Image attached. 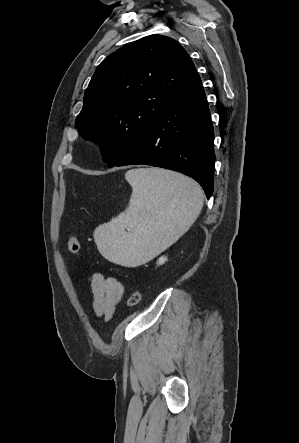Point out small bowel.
I'll list each match as a JSON object with an SVG mask.
<instances>
[{
	"instance_id": "c3829d8e",
	"label": "small bowel",
	"mask_w": 299,
	"mask_h": 443,
	"mask_svg": "<svg viewBox=\"0 0 299 443\" xmlns=\"http://www.w3.org/2000/svg\"><path fill=\"white\" fill-rule=\"evenodd\" d=\"M89 285L95 314L106 321L110 320L123 296V283L114 276L95 271L89 277Z\"/></svg>"
}]
</instances>
